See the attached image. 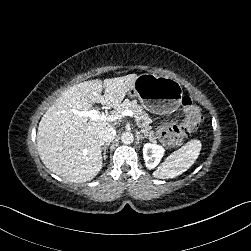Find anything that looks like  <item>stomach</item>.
<instances>
[{
	"label": "stomach",
	"instance_id": "1",
	"mask_svg": "<svg viewBox=\"0 0 251 251\" xmlns=\"http://www.w3.org/2000/svg\"><path fill=\"white\" fill-rule=\"evenodd\" d=\"M128 96L137 98L149 112L166 115L179 108L183 90L180 83L175 79L144 73L137 76Z\"/></svg>",
	"mask_w": 251,
	"mask_h": 251
}]
</instances>
